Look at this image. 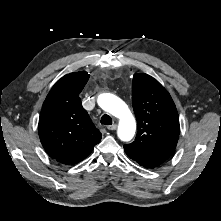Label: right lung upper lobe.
Returning a JSON list of instances; mask_svg holds the SVG:
<instances>
[{"label":"right lung upper lobe","mask_w":221,"mask_h":221,"mask_svg":"<svg viewBox=\"0 0 221 221\" xmlns=\"http://www.w3.org/2000/svg\"><path fill=\"white\" fill-rule=\"evenodd\" d=\"M88 79L86 71L63 76L42 106L38 125L41 143L62 164H76L85 159L102 137L79 97Z\"/></svg>","instance_id":"1"}]
</instances>
